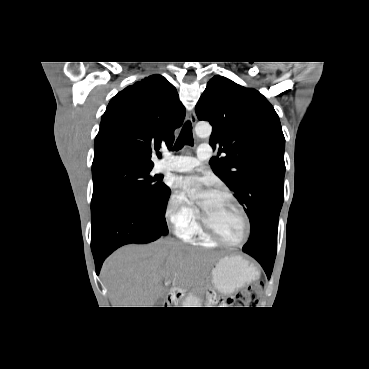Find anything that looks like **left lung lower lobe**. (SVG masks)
Masks as SVG:
<instances>
[{
    "label": "left lung lower lobe",
    "instance_id": "1",
    "mask_svg": "<svg viewBox=\"0 0 369 369\" xmlns=\"http://www.w3.org/2000/svg\"><path fill=\"white\" fill-rule=\"evenodd\" d=\"M242 251L251 255L253 258H255L260 263V265L263 267L269 279L271 276L272 270H273V265H274V260H275L276 255L252 252L244 248H242Z\"/></svg>",
    "mask_w": 369,
    "mask_h": 369
}]
</instances>
